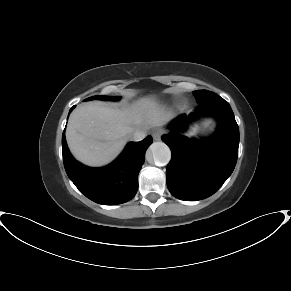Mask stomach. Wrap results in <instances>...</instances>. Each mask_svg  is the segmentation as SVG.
Returning <instances> with one entry per match:
<instances>
[{"mask_svg": "<svg viewBox=\"0 0 291 291\" xmlns=\"http://www.w3.org/2000/svg\"><path fill=\"white\" fill-rule=\"evenodd\" d=\"M197 132V128H193L192 131L190 132L191 135H194Z\"/></svg>", "mask_w": 291, "mask_h": 291, "instance_id": "0dacf381", "label": "stomach"}]
</instances>
